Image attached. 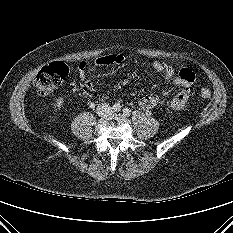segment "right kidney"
Returning <instances> with one entry per match:
<instances>
[{
    "mask_svg": "<svg viewBox=\"0 0 233 233\" xmlns=\"http://www.w3.org/2000/svg\"><path fill=\"white\" fill-rule=\"evenodd\" d=\"M64 99L62 97H58L55 99V102L53 103L54 110H60L61 107H63Z\"/></svg>",
    "mask_w": 233,
    "mask_h": 233,
    "instance_id": "ca27d5eb",
    "label": "right kidney"
}]
</instances>
